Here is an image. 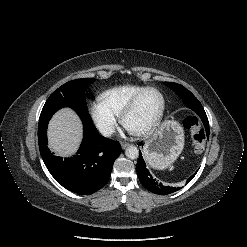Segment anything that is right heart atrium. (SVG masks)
Listing matches in <instances>:
<instances>
[{
	"label": "right heart atrium",
	"instance_id": "d8ad5b80",
	"mask_svg": "<svg viewBox=\"0 0 247 247\" xmlns=\"http://www.w3.org/2000/svg\"><path fill=\"white\" fill-rule=\"evenodd\" d=\"M89 110L91 118L100 133L106 137L111 136L117 127V116L101 101H93Z\"/></svg>",
	"mask_w": 247,
	"mask_h": 247
}]
</instances>
